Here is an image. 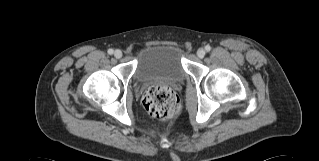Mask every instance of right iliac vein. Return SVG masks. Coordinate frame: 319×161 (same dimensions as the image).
<instances>
[{"label": "right iliac vein", "instance_id": "1", "mask_svg": "<svg viewBox=\"0 0 319 161\" xmlns=\"http://www.w3.org/2000/svg\"><path fill=\"white\" fill-rule=\"evenodd\" d=\"M122 55H123V53H122V51L121 50H115V52H114V56H115V58H117V59H119V58H121L122 57Z\"/></svg>", "mask_w": 319, "mask_h": 161}]
</instances>
